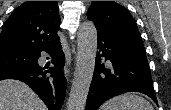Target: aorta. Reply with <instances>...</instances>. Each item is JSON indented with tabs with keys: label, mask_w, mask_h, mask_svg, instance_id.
I'll return each mask as SVG.
<instances>
[{
	"label": "aorta",
	"mask_w": 171,
	"mask_h": 110,
	"mask_svg": "<svg viewBox=\"0 0 171 110\" xmlns=\"http://www.w3.org/2000/svg\"><path fill=\"white\" fill-rule=\"evenodd\" d=\"M97 53V30L92 21L83 22L77 35V60L67 110H84Z\"/></svg>",
	"instance_id": "762f6f07"
}]
</instances>
